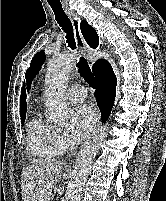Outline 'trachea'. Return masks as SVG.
I'll list each match as a JSON object with an SVG mask.
<instances>
[{
  "mask_svg": "<svg viewBox=\"0 0 166 201\" xmlns=\"http://www.w3.org/2000/svg\"><path fill=\"white\" fill-rule=\"evenodd\" d=\"M55 19L59 26L63 29V31L66 33V42L68 44V47H70L72 50L76 48L75 45V39L73 36V26L72 23L65 13L64 9L62 7H55L51 6ZM78 72L80 73L81 77L84 78V80L92 87L97 88V82L95 77L93 76L89 66L87 65V62L84 57H80L79 62L77 63Z\"/></svg>",
  "mask_w": 166,
  "mask_h": 201,
  "instance_id": "trachea-1",
  "label": "trachea"
}]
</instances>
